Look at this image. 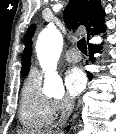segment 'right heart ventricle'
<instances>
[{
	"label": "right heart ventricle",
	"mask_w": 116,
	"mask_h": 134,
	"mask_svg": "<svg viewBox=\"0 0 116 134\" xmlns=\"http://www.w3.org/2000/svg\"><path fill=\"white\" fill-rule=\"evenodd\" d=\"M19 116L28 128H42L49 125L55 116L52 99L41 90V74L32 69L21 92Z\"/></svg>",
	"instance_id": "right-heart-ventricle-1"
}]
</instances>
